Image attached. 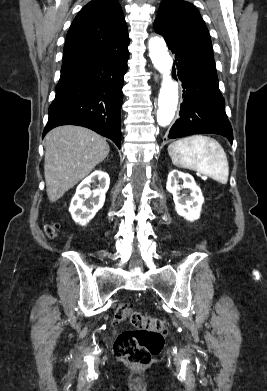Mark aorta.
<instances>
[{
  "label": "aorta",
  "mask_w": 267,
  "mask_h": 391,
  "mask_svg": "<svg viewBox=\"0 0 267 391\" xmlns=\"http://www.w3.org/2000/svg\"><path fill=\"white\" fill-rule=\"evenodd\" d=\"M149 53L154 67L162 75L158 96L157 121L160 126H167L173 120L178 105V84L171 77L172 58L163 38L151 37L148 42Z\"/></svg>",
  "instance_id": "aorta-1"
}]
</instances>
